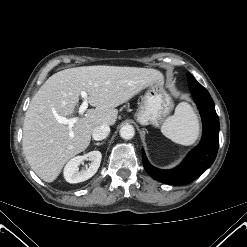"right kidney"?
<instances>
[{
  "mask_svg": "<svg viewBox=\"0 0 247 247\" xmlns=\"http://www.w3.org/2000/svg\"><path fill=\"white\" fill-rule=\"evenodd\" d=\"M102 154L100 151H91L83 156L72 158L64 168V178L69 183H79L91 178L98 170L101 163ZM89 160V168L79 171V165Z\"/></svg>",
  "mask_w": 247,
  "mask_h": 247,
  "instance_id": "1",
  "label": "right kidney"
}]
</instances>
